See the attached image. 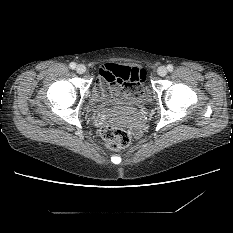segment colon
<instances>
[{
    "label": "colon",
    "mask_w": 233,
    "mask_h": 233,
    "mask_svg": "<svg viewBox=\"0 0 233 233\" xmlns=\"http://www.w3.org/2000/svg\"><path fill=\"white\" fill-rule=\"evenodd\" d=\"M112 79L121 83L128 93H134L138 89V79L132 77L127 68H119L115 71ZM104 122L101 127V135L106 140V147L109 150H118L126 148L131 143V137L128 131L118 126L110 113L103 115Z\"/></svg>",
    "instance_id": "colon-1"
}]
</instances>
